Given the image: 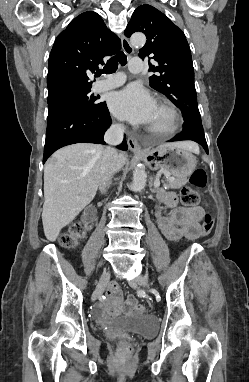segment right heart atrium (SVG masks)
Returning a JSON list of instances; mask_svg holds the SVG:
<instances>
[{
	"label": "right heart atrium",
	"instance_id": "d8ad5b80",
	"mask_svg": "<svg viewBox=\"0 0 249 382\" xmlns=\"http://www.w3.org/2000/svg\"><path fill=\"white\" fill-rule=\"evenodd\" d=\"M116 128H117V129H122V125H121V124H117V125H116Z\"/></svg>",
	"mask_w": 249,
	"mask_h": 382
}]
</instances>
